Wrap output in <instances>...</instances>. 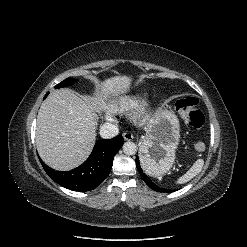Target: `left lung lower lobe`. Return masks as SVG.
I'll list each match as a JSON object with an SVG mask.
<instances>
[{
  "label": "left lung lower lobe",
  "mask_w": 247,
  "mask_h": 247,
  "mask_svg": "<svg viewBox=\"0 0 247 247\" xmlns=\"http://www.w3.org/2000/svg\"><path fill=\"white\" fill-rule=\"evenodd\" d=\"M136 166L137 169L142 177V179L144 180V182L153 190L157 191V192H171L172 190H167V189H161L160 187H158L157 185H155L143 172V170L140 167L139 164V158L136 157Z\"/></svg>",
  "instance_id": "0a47b994"
}]
</instances>
